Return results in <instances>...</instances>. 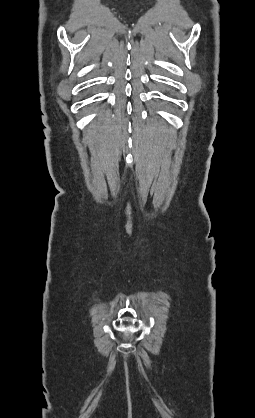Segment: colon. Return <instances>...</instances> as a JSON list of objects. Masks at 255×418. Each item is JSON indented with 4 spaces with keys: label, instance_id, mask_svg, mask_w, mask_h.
<instances>
[{
    "label": "colon",
    "instance_id": "obj_1",
    "mask_svg": "<svg viewBox=\"0 0 255 418\" xmlns=\"http://www.w3.org/2000/svg\"><path fill=\"white\" fill-rule=\"evenodd\" d=\"M128 337H129V335L127 334V335L125 336V339H128Z\"/></svg>",
    "mask_w": 255,
    "mask_h": 418
}]
</instances>
